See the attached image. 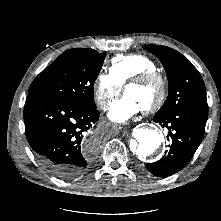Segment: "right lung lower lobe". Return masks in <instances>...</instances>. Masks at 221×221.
<instances>
[{
    "label": "right lung lower lobe",
    "mask_w": 221,
    "mask_h": 221,
    "mask_svg": "<svg viewBox=\"0 0 221 221\" xmlns=\"http://www.w3.org/2000/svg\"><path fill=\"white\" fill-rule=\"evenodd\" d=\"M99 116L97 109L40 93L28 94L24 107L25 133L40 165L60 179L80 176L94 150V146H85L84 133Z\"/></svg>",
    "instance_id": "obj_1"
}]
</instances>
